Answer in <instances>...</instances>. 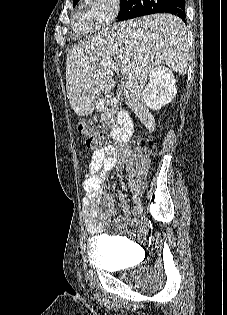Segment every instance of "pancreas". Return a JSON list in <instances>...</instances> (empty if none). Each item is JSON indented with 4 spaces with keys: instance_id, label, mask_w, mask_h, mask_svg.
I'll return each mask as SVG.
<instances>
[{
    "instance_id": "obj_1",
    "label": "pancreas",
    "mask_w": 227,
    "mask_h": 315,
    "mask_svg": "<svg viewBox=\"0 0 227 315\" xmlns=\"http://www.w3.org/2000/svg\"><path fill=\"white\" fill-rule=\"evenodd\" d=\"M109 119L110 117H109L108 111L107 110L103 111L102 120L105 122V124H108V125L110 124Z\"/></svg>"
}]
</instances>
